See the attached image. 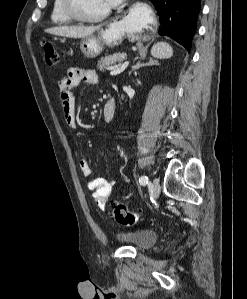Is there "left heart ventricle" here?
<instances>
[{
  "mask_svg": "<svg viewBox=\"0 0 247 299\" xmlns=\"http://www.w3.org/2000/svg\"><path fill=\"white\" fill-rule=\"evenodd\" d=\"M79 10L87 16H95L108 9V0H76Z\"/></svg>",
  "mask_w": 247,
  "mask_h": 299,
  "instance_id": "obj_1",
  "label": "left heart ventricle"
}]
</instances>
